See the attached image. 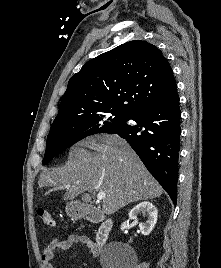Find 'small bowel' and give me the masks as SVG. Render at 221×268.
Returning a JSON list of instances; mask_svg holds the SVG:
<instances>
[{
    "label": "small bowel",
    "mask_w": 221,
    "mask_h": 268,
    "mask_svg": "<svg viewBox=\"0 0 221 268\" xmlns=\"http://www.w3.org/2000/svg\"><path fill=\"white\" fill-rule=\"evenodd\" d=\"M83 245L86 247L88 253L92 256H96L99 253V247L96 243L86 235L71 234L65 239H53L42 252V264L43 268H55L53 265V259L58 250H67L74 245Z\"/></svg>",
    "instance_id": "obj_1"
}]
</instances>
